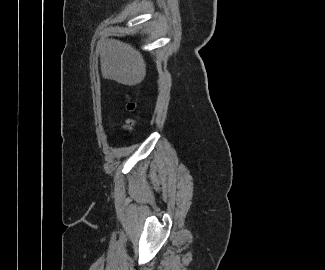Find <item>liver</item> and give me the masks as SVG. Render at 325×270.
Segmentation results:
<instances>
[{
    "label": "liver",
    "instance_id": "liver-1",
    "mask_svg": "<svg viewBox=\"0 0 325 270\" xmlns=\"http://www.w3.org/2000/svg\"><path fill=\"white\" fill-rule=\"evenodd\" d=\"M100 66L103 78L134 86L146 76V63L142 54L131 45L110 39L99 42Z\"/></svg>",
    "mask_w": 325,
    "mask_h": 270
}]
</instances>
